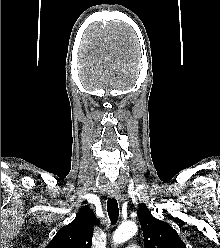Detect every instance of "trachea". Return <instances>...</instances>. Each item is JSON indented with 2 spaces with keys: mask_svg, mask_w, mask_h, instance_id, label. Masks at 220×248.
Returning <instances> with one entry per match:
<instances>
[{
  "mask_svg": "<svg viewBox=\"0 0 220 248\" xmlns=\"http://www.w3.org/2000/svg\"><path fill=\"white\" fill-rule=\"evenodd\" d=\"M107 211L112 224H115L119 216L118 203L115 198H109L107 201Z\"/></svg>",
  "mask_w": 220,
  "mask_h": 248,
  "instance_id": "1",
  "label": "trachea"
}]
</instances>
